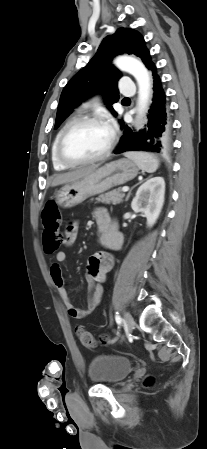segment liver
Here are the masks:
<instances>
[{"mask_svg": "<svg viewBox=\"0 0 207 449\" xmlns=\"http://www.w3.org/2000/svg\"><path fill=\"white\" fill-rule=\"evenodd\" d=\"M96 168L97 166H90L72 172L56 175L51 183V186L55 187L62 184L72 183L84 177L85 175H88L89 173L93 172Z\"/></svg>", "mask_w": 207, "mask_h": 449, "instance_id": "6515ba94", "label": "liver"}]
</instances>
